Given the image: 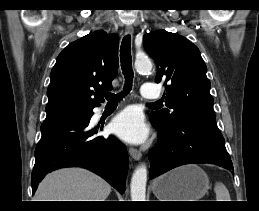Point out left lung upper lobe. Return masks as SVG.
Segmentation results:
<instances>
[{
	"mask_svg": "<svg viewBox=\"0 0 259 211\" xmlns=\"http://www.w3.org/2000/svg\"><path fill=\"white\" fill-rule=\"evenodd\" d=\"M143 44L156 62V82L165 85V104L172 109L153 111L150 119L165 127L186 118L216 124L207 67L197 46L165 30L144 35Z\"/></svg>",
	"mask_w": 259,
	"mask_h": 211,
	"instance_id": "1",
	"label": "left lung upper lobe"
}]
</instances>
